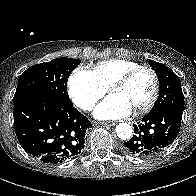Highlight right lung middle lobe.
Here are the masks:
<instances>
[{
  "mask_svg": "<svg viewBox=\"0 0 196 196\" xmlns=\"http://www.w3.org/2000/svg\"><path fill=\"white\" fill-rule=\"evenodd\" d=\"M79 64L80 59L56 58L31 66L19 78L14 104L34 96H51L72 104L67 93V81Z\"/></svg>",
  "mask_w": 196,
  "mask_h": 196,
  "instance_id": "1",
  "label": "right lung middle lobe"
}]
</instances>
